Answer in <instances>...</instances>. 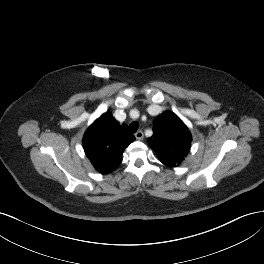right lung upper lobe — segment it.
Here are the masks:
<instances>
[{
    "label": "right lung upper lobe",
    "mask_w": 264,
    "mask_h": 264,
    "mask_svg": "<svg viewBox=\"0 0 264 264\" xmlns=\"http://www.w3.org/2000/svg\"><path fill=\"white\" fill-rule=\"evenodd\" d=\"M133 141L125 124L104 113L86 131L83 147L95 169L107 174L118 167L125 148Z\"/></svg>",
    "instance_id": "obj_1"
}]
</instances>
